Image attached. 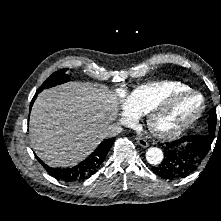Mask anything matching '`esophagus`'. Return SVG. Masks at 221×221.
<instances>
[{
  "mask_svg": "<svg viewBox=\"0 0 221 221\" xmlns=\"http://www.w3.org/2000/svg\"><path fill=\"white\" fill-rule=\"evenodd\" d=\"M135 139H136V142H137L140 146H142V147H147V146H148V142H147L144 138H142V137H136Z\"/></svg>",
  "mask_w": 221,
  "mask_h": 221,
  "instance_id": "obj_1",
  "label": "esophagus"
}]
</instances>
